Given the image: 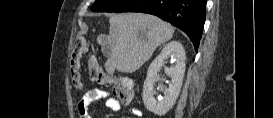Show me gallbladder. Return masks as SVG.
<instances>
[{"instance_id":"1","label":"gallbladder","mask_w":273,"mask_h":118,"mask_svg":"<svg viewBox=\"0 0 273 118\" xmlns=\"http://www.w3.org/2000/svg\"><path fill=\"white\" fill-rule=\"evenodd\" d=\"M102 51L104 53L105 56H109L111 54V47L109 44H105L102 47Z\"/></svg>"}]
</instances>
